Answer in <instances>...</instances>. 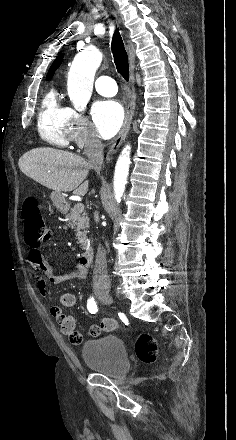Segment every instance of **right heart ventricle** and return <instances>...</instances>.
Wrapping results in <instances>:
<instances>
[{
  "label": "right heart ventricle",
  "instance_id": "1",
  "mask_svg": "<svg viewBox=\"0 0 236 440\" xmlns=\"http://www.w3.org/2000/svg\"><path fill=\"white\" fill-rule=\"evenodd\" d=\"M38 130L45 141L56 147L70 143L69 108L63 105L55 88H50L42 99Z\"/></svg>",
  "mask_w": 236,
  "mask_h": 440
}]
</instances>
